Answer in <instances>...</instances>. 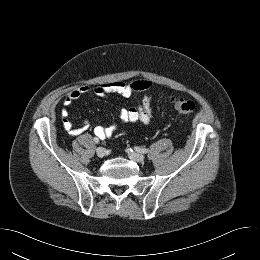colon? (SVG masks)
Returning <instances> with one entry per match:
<instances>
[{"mask_svg":"<svg viewBox=\"0 0 260 260\" xmlns=\"http://www.w3.org/2000/svg\"><path fill=\"white\" fill-rule=\"evenodd\" d=\"M170 102L173 108L180 114H190L196 108V105L192 100L171 98Z\"/></svg>","mask_w":260,"mask_h":260,"instance_id":"1","label":"colon"}]
</instances>
